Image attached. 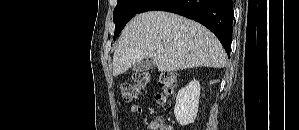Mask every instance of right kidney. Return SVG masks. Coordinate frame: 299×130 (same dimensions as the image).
Instances as JSON below:
<instances>
[{
	"mask_svg": "<svg viewBox=\"0 0 299 130\" xmlns=\"http://www.w3.org/2000/svg\"><path fill=\"white\" fill-rule=\"evenodd\" d=\"M200 83L192 80L189 84L179 90L174 107V115L180 125L193 123L199 107Z\"/></svg>",
	"mask_w": 299,
	"mask_h": 130,
	"instance_id": "right-kidney-1",
	"label": "right kidney"
}]
</instances>
